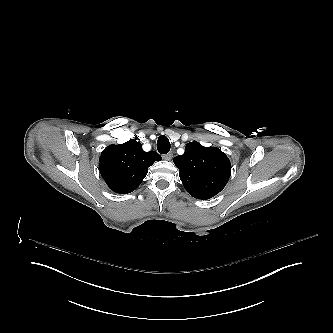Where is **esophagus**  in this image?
Here are the masks:
<instances>
[{
    "mask_svg": "<svg viewBox=\"0 0 333 333\" xmlns=\"http://www.w3.org/2000/svg\"><path fill=\"white\" fill-rule=\"evenodd\" d=\"M172 157H173V153L172 152H169V153L163 155V158L165 160H171Z\"/></svg>",
    "mask_w": 333,
    "mask_h": 333,
    "instance_id": "1",
    "label": "esophagus"
}]
</instances>
